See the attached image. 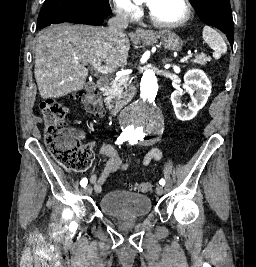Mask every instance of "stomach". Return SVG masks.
I'll list each match as a JSON object with an SVG mask.
<instances>
[{
  "label": "stomach",
  "mask_w": 256,
  "mask_h": 267,
  "mask_svg": "<svg viewBox=\"0 0 256 267\" xmlns=\"http://www.w3.org/2000/svg\"><path fill=\"white\" fill-rule=\"evenodd\" d=\"M151 36L150 38H147V40H159L161 46H164L166 50H174V52H178V50H181L184 42H182L180 36H177V34H174V32H170V30H163V32H150ZM141 40V38H138V42Z\"/></svg>",
  "instance_id": "0dacf381"
}]
</instances>
